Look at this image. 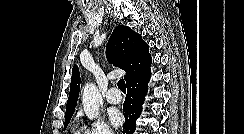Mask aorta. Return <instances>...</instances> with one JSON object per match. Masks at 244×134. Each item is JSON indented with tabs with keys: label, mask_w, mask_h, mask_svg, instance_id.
<instances>
[{
	"label": "aorta",
	"mask_w": 244,
	"mask_h": 134,
	"mask_svg": "<svg viewBox=\"0 0 244 134\" xmlns=\"http://www.w3.org/2000/svg\"><path fill=\"white\" fill-rule=\"evenodd\" d=\"M101 100L98 88L92 83H87L83 90L82 103L85 114L89 119L93 120L98 117Z\"/></svg>",
	"instance_id": "1"
}]
</instances>
